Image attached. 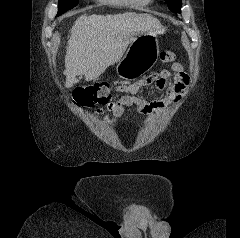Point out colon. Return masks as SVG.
Instances as JSON below:
<instances>
[{
    "instance_id": "1",
    "label": "colon",
    "mask_w": 240,
    "mask_h": 238,
    "mask_svg": "<svg viewBox=\"0 0 240 238\" xmlns=\"http://www.w3.org/2000/svg\"><path fill=\"white\" fill-rule=\"evenodd\" d=\"M164 63L176 59V53L165 50L160 54ZM111 98L110 87L107 83H94L77 87L73 92L74 103L80 107H92L96 104H106Z\"/></svg>"
}]
</instances>
